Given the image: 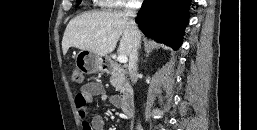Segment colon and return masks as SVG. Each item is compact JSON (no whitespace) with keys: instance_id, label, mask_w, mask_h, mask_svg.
<instances>
[{"instance_id":"5ec220e1","label":"colon","mask_w":257,"mask_h":130,"mask_svg":"<svg viewBox=\"0 0 257 130\" xmlns=\"http://www.w3.org/2000/svg\"><path fill=\"white\" fill-rule=\"evenodd\" d=\"M71 79L75 84H82L85 81V76L80 69H74L71 74Z\"/></svg>"}]
</instances>
